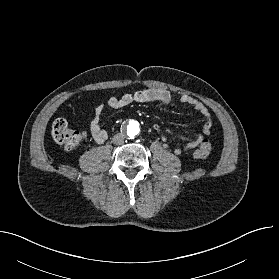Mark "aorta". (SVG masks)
Listing matches in <instances>:
<instances>
[{"label": "aorta", "mask_w": 279, "mask_h": 279, "mask_svg": "<svg viewBox=\"0 0 279 279\" xmlns=\"http://www.w3.org/2000/svg\"><path fill=\"white\" fill-rule=\"evenodd\" d=\"M125 130H126L128 136L134 137L140 131L139 123L137 121L131 120L126 123Z\"/></svg>", "instance_id": "aorta-1"}]
</instances>
